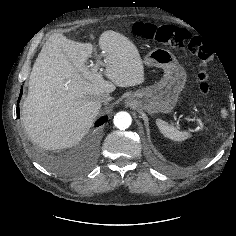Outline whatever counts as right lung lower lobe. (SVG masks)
<instances>
[{
	"label": "right lung lower lobe",
	"mask_w": 236,
	"mask_h": 236,
	"mask_svg": "<svg viewBox=\"0 0 236 236\" xmlns=\"http://www.w3.org/2000/svg\"><path fill=\"white\" fill-rule=\"evenodd\" d=\"M22 88H21V91H20V97L22 95ZM20 101V98L18 99V103ZM16 112H17V117L19 118L20 117V114H19V105H17V108H16ZM108 120V117L107 116H104V117H101L96 123H95V127H98L100 125H102L103 123L107 122Z\"/></svg>",
	"instance_id": "1"
}]
</instances>
